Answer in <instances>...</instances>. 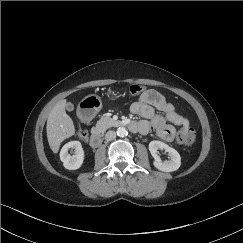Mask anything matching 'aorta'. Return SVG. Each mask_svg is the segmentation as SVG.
Wrapping results in <instances>:
<instances>
[{
	"label": "aorta",
	"instance_id": "aorta-1",
	"mask_svg": "<svg viewBox=\"0 0 243 243\" xmlns=\"http://www.w3.org/2000/svg\"><path fill=\"white\" fill-rule=\"evenodd\" d=\"M127 134H128V131L126 130L125 127H119V128L117 129V135H118L119 137H125Z\"/></svg>",
	"mask_w": 243,
	"mask_h": 243
}]
</instances>
